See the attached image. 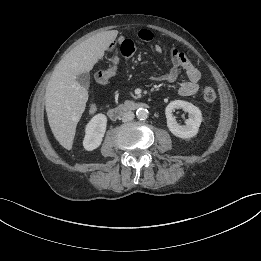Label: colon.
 Masks as SVG:
<instances>
[{"mask_svg":"<svg viewBox=\"0 0 261 261\" xmlns=\"http://www.w3.org/2000/svg\"><path fill=\"white\" fill-rule=\"evenodd\" d=\"M118 59L113 56L109 67L101 69L95 73V79L100 84H106L116 73ZM204 101L212 103L216 99V92L211 87H205L202 92Z\"/></svg>","mask_w":261,"mask_h":261,"instance_id":"5ec220e1","label":"colon"}]
</instances>
